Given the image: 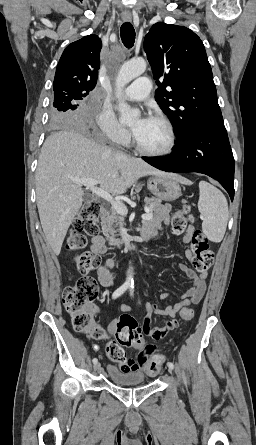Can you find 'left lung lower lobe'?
I'll use <instances>...</instances> for the list:
<instances>
[{"mask_svg":"<svg viewBox=\"0 0 256 445\" xmlns=\"http://www.w3.org/2000/svg\"><path fill=\"white\" fill-rule=\"evenodd\" d=\"M167 172H198L216 179L234 197V158L224 125H199L177 139L165 157H142Z\"/></svg>","mask_w":256,"mask_h":445,"instance_id":"1","label":"left lung lower lobe"}]
</instances>
